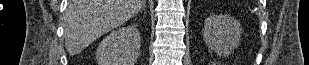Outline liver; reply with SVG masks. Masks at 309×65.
<instances>
[{
  "label": "liver",
  "instance_id": "1",
  "mask_svg": "<svg viewBox=\"0 0 309 65\" xmlns=\"http://www.w3.org/2000/svg\"><path fill=\"white\" fill-rule=\"evenodd\" d=\"M145 4L146 0H69L64 15L68 53H80L104 33L137 15Z\"/></svg>",
  "mask_w": 309,
  "mask_h": 65
}]
</instances>
